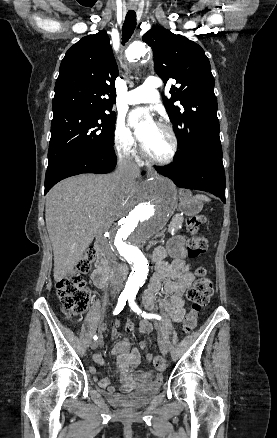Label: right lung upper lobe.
<instances>
[{"instance_id": "cb5924a9", "label": "right lung upper lobe", "mask_w": 277, "mask_h": 438, "mask_svg": "<svg viewBox=\"0 0 277 438\" xmlns=\"http://www.w3.org/2000/svg\"><path fill=\"white\" fill-rule=\"evenodd\" d=\"M117 76L118 68L106 31L83 37L61 62L52 103L54 116L111 111L112 104L116 103Z\"/></svg>"}]
</instances>
